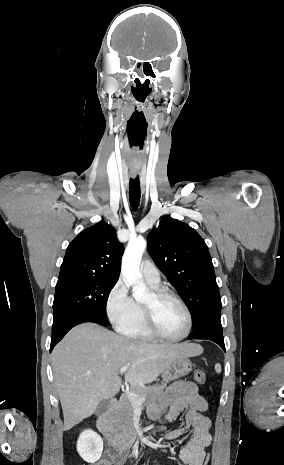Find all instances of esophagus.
<instances>
[{"label":"esophagus","instance_id":"esophagus-1","mask_svg":"<svg viewBox=\"0 0 284 465\" xmlns=\"http://www.w3.org/2000/svg\"><path fill=\"white\" fill-rule=\"evenodd\" d=\"M130 174H131L132 177H136L137 170H130Z\"/></svg>","mask_w":284,"mask_h":465}]
</instances>
